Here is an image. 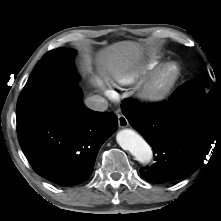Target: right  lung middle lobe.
<instances>
[{
  "instance_id": "obj_1",
  "label": "right lung middle lobe",
  "mask_w": 221,
  "mask_h": 221,
  "mask_svg": "<svg viewBox=\"0 0 221 221\" xmlns=\"http://www.w3.org/2000/svg\"><path fill=\"white\" fill-rule=\"evenodd\" d=\"M75 50L58 48L46 53L36 64L17 103V128L43 115L69 87L76 83ZM37 81V86L34 82Z\"/></svg>"
}]
</instances>
